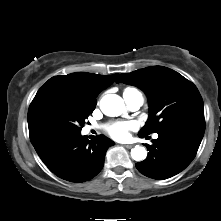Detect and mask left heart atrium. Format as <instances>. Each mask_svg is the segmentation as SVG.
I'll list each match as a JSON object with an SVG mask.
<instances>
[{
	"instance_id": "obj_1",
	"label": "left heart atrium",
	"mask_w": 221,
	"mask_h": 221,
	"mask_svg": "<svg viewBox=\"0 0 221 221\" xmlns=\"http://www.w3.org/2000/svg\"><path fill=\"white\" fill-rule=\"evenodd\" d=\"M136 127L134 121L115 122L107 127V132L114 139L125 140L129 136V131L136 129Z\"/></svg>"
}]
</instances>
